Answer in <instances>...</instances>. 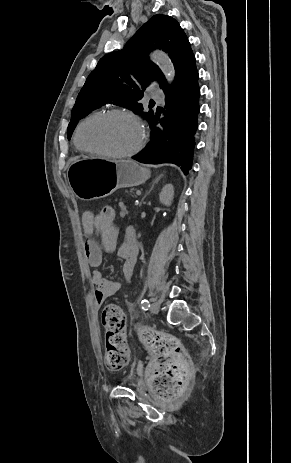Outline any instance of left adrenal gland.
Listing matches in <instances>:
<instances>
[{"label": "left adrenal gland", "instance_id": "a2214340", "mask_svg": "<svg viewBox=\"0 0 291 463\" xmlns=\"http://www.w3.org/2000/svg\"><path fill=\"white\" fill-rule=\"evenodd\" d=\"M158 179H159V178H157V179L155 180L154 183H157V182H158ZM143 199H144V198H143ZM141 204H142V202L140 203V206H141Z\"/></svg>", "mask_w": 291, "mask_h": 463}]
</instances>
